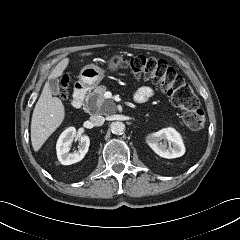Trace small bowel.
Listing matches in <instances>:
<instances>
[{"label":"small bowel","instance_id":"c3829d8e","mask_svg":"<svg viewBox=\"0 0 240 240\" xmlns=\"http://www.w3.org/2000/svg\"><path fill=\"white\" fill-rule=\"evenodd\" d=\"M153 95V90L150 87L144 86L139 88L134 95L138 103L146 102Z\"/></svg>","mask_w":240,"mask_h":240}]
</instances>
